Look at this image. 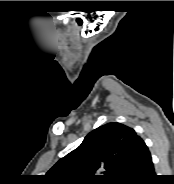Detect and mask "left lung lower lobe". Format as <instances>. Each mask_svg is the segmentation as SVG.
<instances>
[{"mask_svg": "<svg viewBox=\"0 0 174 184\" xmlns=\"http://www.w3.org/2000/svg\"><path fill=\"white\" fill-rule=\"evenodd\" d=\"M155 178L150 152L141 139L129 164L126 179L120 184H151Z\"/></svg>", "mask_w": 174, "mask_h": 184, "instance_id": "0a47b994", "label": "left lung lower lobe"}]
</instances>
